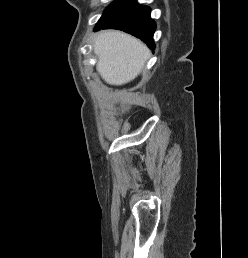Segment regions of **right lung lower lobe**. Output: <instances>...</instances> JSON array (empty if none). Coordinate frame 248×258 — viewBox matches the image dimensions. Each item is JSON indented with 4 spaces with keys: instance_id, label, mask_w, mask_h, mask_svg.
Segmentation results:
<instances>
[{
    "instance_id": "right-lung-lower-lobe-1",
    "label": "right lung lower lobe",
    "mask_w": 248,
    "mask_h": 258,
    "mask_svg": "<svg viewBox=\"0 0 248 258\" xmlns=\"http://www.w3.org/2000/svg\"><path fill=\"white\" fill-rule=\"evenodd\" d=\"M150 8L136 0H121L101 17L94 30L119 29L140 38L151 48H155L153 34L155 22L150 17Z\"/></svg>"
}]
</instances>
